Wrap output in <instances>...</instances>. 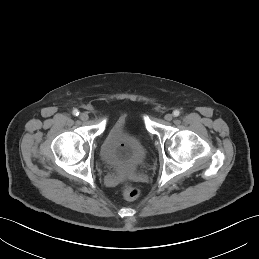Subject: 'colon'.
Listing matches in <instances>:
<instances>
[{
	"label": "colon",
	"mask_w": 259,
	"mask_h": 259,
	"mask_svg": "<svg viewBox=\"0 0 259 259\" xmlns=\"http://www.w3.org/2000/svg\"><path fill=\"white\" fill-rule=\"evenodd\" d=\"M122 194L128 200H135L140 196V190L126 180L122 186Z\"/></svg>",
	"instance_id": "1"
}]
</instances>
